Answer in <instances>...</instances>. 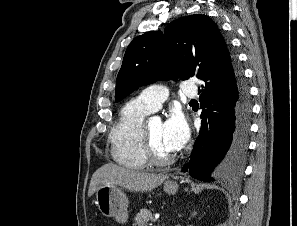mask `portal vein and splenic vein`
I'll use <instances>...</instances> for the list:
<instances>
[{
  "label": "portal vein and splenic vein",
  "instance_id": "1",
  "mask_svg": "<svg viewBox=\"0 0 297 226\" xmlns=\"http://www.w3.org/2000/svg\"><path fill=\"white\" fill-rule=\"evenodd\" d=\"M159 219V215H155V218H153V222H156Z\"/></svg>",
  "mask_w": 297,
  "mask_h": 226
}]
</instances>
